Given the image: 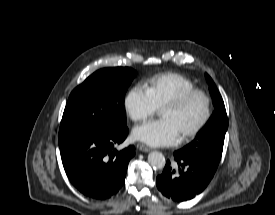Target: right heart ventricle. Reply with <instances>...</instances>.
I'll use <instances>...</instances> for the list:
<instances>
[{
    "instance_id": "e07e8e85",
    "label": "right heart ventricle",
    "mask_w": 275,
    "mask_h": 215,
    "mask_svg": "<svg viewBox=\"0 0 275 215\" xmlns=\"http://www.w3.org/2000/svg\"><path fill=\"white\" fill-rule=\"evenodd\" d=\"M194 88L195 84L189 78L175 72L157 74L145 83V89L158 108L180 93Z\"/></svg>"
}]
</instances>
